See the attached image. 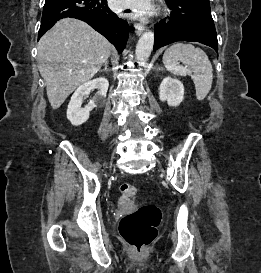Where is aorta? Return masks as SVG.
Wrapping results in <instances>:
<instances>
[{
  "label": "aorta",
  "instance_id": "aorta-1",
  "mask_svg": "<svg viewBox=\"0 0 261 273\" xmlns=\"http://www.w3.org/2000/svg\"><path fill=\"white\" fill-rule=\"evenodd\" d=\"M154 45V32L146 31L140 37L135 50L136 59L139 63H146Z\"/></svg>",
  "mask_w": 261,
  "mask_h": 273
}]
</instances>
